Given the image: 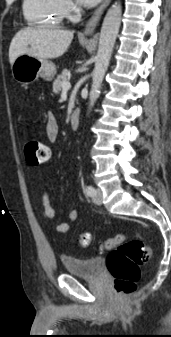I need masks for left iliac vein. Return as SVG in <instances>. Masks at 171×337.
Segmentation results:
<instances>
[{
  "mask_svg": "<svg viewBox=\"0 0 171 337\" xmlns=\"http://www.w3.org/2000/svg\"><path fill=\"white\" fill-rule=\"evenodd\" d=\"M102 196H103L102 190L101 189H96L95 195L93 197L94 203L101 204L102 203Z\"/></svg>",
  "mask_w": 171,
  "mask_h": 337,
  "instance_id": "obj_1",
  "label": "left iliac vein"
}]
</instances>
